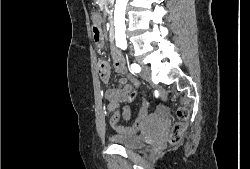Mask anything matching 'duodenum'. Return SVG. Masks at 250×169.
<instances>
[{
  "label": "duodenum",
  "mask_w": 250,
  "mask_h": 169,
  "mask_svg": "<svg viewBox=\"0 0 250 169\" xmlns=\"http://www.w3.org/2000/svg\"><path fill=\"white\" fill-rule=\"evenodd\" d=\"M108 37L110 41H115V27L113 25V23H111V25L108 28Z\"/></svg>",
  "instance_id": "duodenum-1"
}]
</instances>
